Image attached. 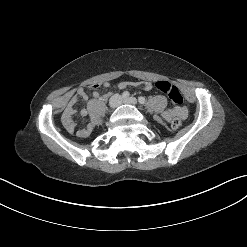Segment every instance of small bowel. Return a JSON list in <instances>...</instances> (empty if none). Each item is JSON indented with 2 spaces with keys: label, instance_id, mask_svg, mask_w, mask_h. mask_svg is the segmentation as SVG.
<instances>
[{
  "label": "small bowel",
  "instance_id": "small-bowel-1",
  "mask_svg": "<svg viewBox=\"0 0 247 247\" xmlns=\"http://www.w3.org/2000/svg\"><path fill=\"white\" fill-rule=\"evenodd\" d=\"M101 86L108 88V87H110V83L109 82L96 83V84L91 85V88L96 89V88L101 87ZM128 87H142L145 90H150L152 88V83L149 81H142V82L124 81V82H121L119 84L120 89H125ZM79 97L83 98L84 100H87L89 97L97 99L99 97V93L94 91L91 93V95H88L83 88L77 89L76 94L70 98V100H69V102H68V104H67V106H66V108L62 114V123H63V126L65 127V129L70 134H73L79 138H84V137H87L90 135V133L92 132V130L94 128V125H93V123H88L83 128H77V126L73 120V116L75 114L74 105L77 102ZM187 113L188 112H187V109L185 107L177 106L171 110L165 111L163 113V117L167 121H171V119L173 117L185 119L187 117ZM80 114L82 116H86L88 114V109L86 107H83L80 110Z\"/></svg>",
  "mask_w": 247,
  "mask_h": 247
}]
</instances>
